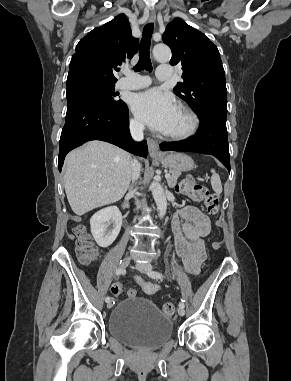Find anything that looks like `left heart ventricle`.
Instances as JSON below:
<instances>
[{
	"instance_id": "left-heart-ventricle-1",
	"label": "left heart ventricle",
	"mask_w": 291,
	"mask_h": 381,
	"mask_svg": "<svg viewBox=\"0 0 291 381\" xmlns=\"http://www.w3.org/2000/svg\"><path fill=\"white\" fill-rule=\"evenodd\" d=\"M189 118L187 115L180 109H178L175 117L173 118L170 126L165 133H179L186 130L189 126Z\"/></svg>"
}]
</instances>
